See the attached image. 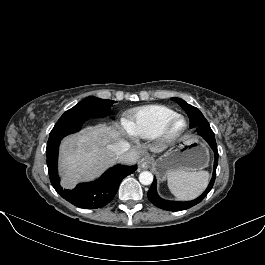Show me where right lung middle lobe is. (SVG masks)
<instances>
[{
    "instance_id": "1",
    "label": "right lung middle lobe",
    "mask_w": 265,
    "mask_h": 265,
    "mask_svg": "<svg viewBox=\"0 0 265 265\" xmlns=\"http://www.w3.org/2000/svg\"><path fill=\"white\" fill-rule=\"evenodd\" d=\"M115 101L100 99L97 97H87L80 101L73 108L67 110L58 120H69L72 118H99L105 117L110 113V108Z\"/></svg>"
}]
</instances>
